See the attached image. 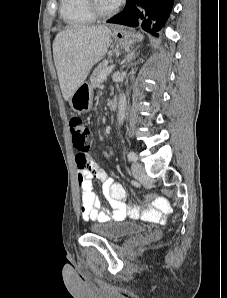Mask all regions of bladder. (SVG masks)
I'll use <instances>...</instances> for the list:
<instances>
[{
  "label": "bladder",
  "instance_id": "31cf9c89",
  "mask_svg": "<svg viewBox=\"0 0 227 298\" xmlns=\"http://www.w3.org/2000/svg\"><path fill=\"white\" fill-rule=\"evenodd\" d=\"M90 232L109 240H116L125 236L139 234L145 231V227L133 221L109 220L92 223Z\"/></svg>",
  "mask_w": 227,
  "mask_h": 298
}]
</instances>
